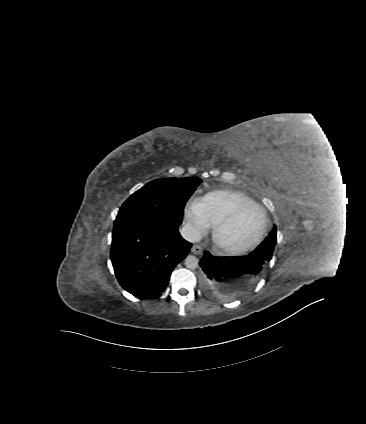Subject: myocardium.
<instances>
[{
	"label": "myocardium",
	"instance_id": "myocardium-1",
	"mask_svg": "<svg viewBox=\"0 0 366 424\" xmlns=\"http://www.w3.org/2000/svg\"><path fill=\"white\" fill-rule=\"evenodd\" d=\"M248 208H257L262 213L263 226H262V229L260 230L259 234L252 241H250L249 243L244 244V245L231 246V245H227V244L222 243L219 239L220 233L226 227H228L230 224H232L241 212H243L244 210H246ZM268 223L269 222H268L267 214H266L265 210L260 205H258L257 203L241 204L238 207H236L235 209H233L227 216H225L223 219H221L220 221H218L214 225L213 230H212L213 244L219 251H221L223 253L230 254V255L242 254V253L247 252L250 249L254 248L256 245H258L260 243V241L263 239V237L265 236V234L267 232Z\"/></svg>",
	"mask_w": 366,
	"mask_h": 424
}]
</instances>
